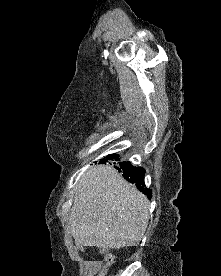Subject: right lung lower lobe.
I'll return each instance as SVG.
<instances>
[{
  "label": "right lung lower lobe",
  "instance_id": "right-lung-lower-lobe-1",
  "mask_svg": "<svg viewBox=\"0 0 221 276\" xmlns=\"http://www.w3.org/2000/svg\"><path fill=\"white\" fill-rule=\"evenodd\" d=\"M119 172L123 173V177L130 183L135 184L149 199L151 198V190L145 189L144 175L145 169L142 167H134L130 162H120L119 167H116Z\"/></svg>",
  "mask_w": 221,
  "mask_h": 276
}]
</instances>
